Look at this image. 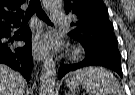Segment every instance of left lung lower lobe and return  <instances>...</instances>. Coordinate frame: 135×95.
<instances>
[{"mask_svg": "<svg viewBox=\"0 0 135 95\" xmlns=\"http://www.w3.org/2000/svg\"><path fill=\"white\" fill-rule=\"evenodd\" d=\"M85 59L76 64H60L58 78L66 73L86 66H103L117 72L122 77L120 64V52L115 44H101L91 48H85Z\"/></svg>", "mask_w": 135, "mask_h": 95, "instance_id": "obj_1", "label": "left lung lower lobe"}]
</instances>
